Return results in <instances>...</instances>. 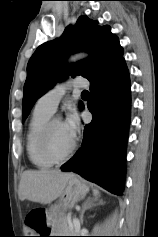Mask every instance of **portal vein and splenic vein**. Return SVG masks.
I'll list each match as a JSON object with an SVG mask.
<instances>
[{
    "mask_svg": "<svg viewBox=\"0 0 158 237\" xmlns=\"http://www.w3.org/2000/svg\"><path fill=\"white\" fill-rule=\"evenodd\" d=\"M73 224H74V226L77 227V228L80 227L79 220H77V219H73Z\"/></svg>",
    "mask_w": 158,
    "mask_h": 237,
    "instance_id": "18ae733b",
    "label": "portal vein and splenic vein"
}]
</instances>
